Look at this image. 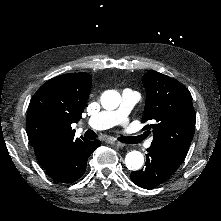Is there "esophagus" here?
<instances>
[{
  "mask_svg": "<svg viewBox=\"0 0 221 221\" xmlns=\"http://www.w3.org/2000/svg\"><path fill=\"white\" fill-rule=\"evenodd\" d=\"M106 142L109 143V144L115 145L117 147H123L124 146V144H122L121 142L116 141L114 139H107Z\"/></svg>",
  "mask_w": 221,
  "mask_h": 221,
  "instance_id": "obj_1",
  "label": "esophagus"
}]
</instances>
